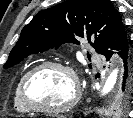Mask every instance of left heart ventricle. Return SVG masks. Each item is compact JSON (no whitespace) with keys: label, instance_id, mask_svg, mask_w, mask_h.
<instances>
[{"label":"left heart ventricle","instance_id":"obj_1","mask_svg":"<svg viewBox=\"0 0 133 118\" xmlns=\"http://www.w3.org/2000/svg\"><path fill=\"white\" fill-rule=\"evenodd\" d=\"M74 94L70 75L61 69L50 68L36 74L29 84V95L34 103L57 107L68 103Z\"/></svg>","mask_w":133,"mask_h":118}]
</instances>
